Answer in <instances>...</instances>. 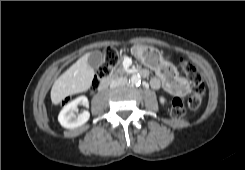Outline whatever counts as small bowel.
<instances>
[{
  "label": "small bowel",
  "instance_id": "obj_1",
  "mask_svg": "<svg viewBox=\"0 0 245 170\" xmlns=\"http://www.w3.org/2000/svg\"><path fill=\"white\" fill-rule=\"evenodd\" d=\"M176 68L169 63H163L156 69V75L150 80V85L154 89L164 87L169 93L175 92L178 83H182Z\"/></svg>",
  "mask_w": 245,
  "mask_h": 170
}]
</instances>
